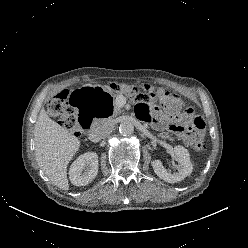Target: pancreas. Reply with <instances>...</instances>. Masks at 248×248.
<instances>
[{"label": "pancreas", "instance_id": "cf45deb5", "mask_svg": "<svg viewBox=\"0 0 248 248\" xmlns=\"http://www.w3.org/2000/svg\"><path fill=\"white\" fill-rule=\"evenodd\" d=\"M121 112V109L116 107L115 108V113L114 115H118L119 113ZM159 137L163 138V139H169V140H173L172 137L167 133V132H163V133H160L158 134Z\"/></svg>", "mask_w": 248, "mask_h": 248}]
</instances>
